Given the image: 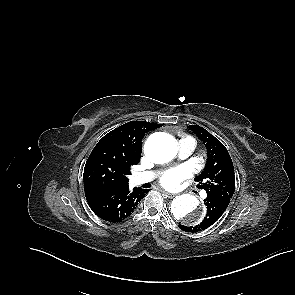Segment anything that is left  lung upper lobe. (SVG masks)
<instances>
[{
	"label": "left lung upper lobe",
	"instance_id": "left-lung-upper-lobe-1",
	"mask_svg": "<svg viewBox=\"0 0 295 295\" xmlns=\"http://www.w3.org/2000/svg\"><path fill=\"white\" fill-rule=\"evenodd\" d=\"M207 148V163L195 178L198 187L205 189L207 197L230 200L235 190V175L231 157L225 146L199 125H190Z\"/></svg>",
	"mask_w": 295,
	"mask_h": 295
}]
</instances>
